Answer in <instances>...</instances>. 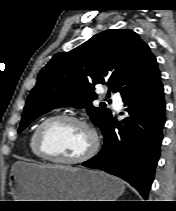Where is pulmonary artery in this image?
I'll return each instance as SVG.
<instances>
[{
	"instance_id": "1",
	"label": "pulmonary artery",
	"mask_w": 176,
	"mask_h": 211,
	"mask_svg": "<svg viewBox=\"0 0 176 211\" xmlns=\"http://www.w3.org/2000/svg\"><path fill=\"white\" fill-rule=\"evenodd\" d=\"M113 104L116 110H120L123 107L122 99L116 95L113 97Z\"/></svg>"
}]
</instances>
